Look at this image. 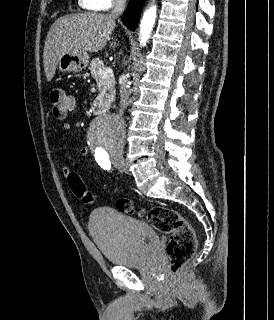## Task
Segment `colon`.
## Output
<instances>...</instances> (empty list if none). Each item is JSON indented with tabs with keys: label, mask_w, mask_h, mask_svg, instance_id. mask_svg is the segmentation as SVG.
Returning a JSON list of instances; mask_svg holds the SVG:
<instances>
[{
	"label": "colon",
	"mask_w": 274,
	"mask_h": 320,
	"mask_svg": "<svg viewBox=\"0 0 274 320\" xmlns=\"http://www.w3.org/2000/svg\"><path fill=\"white\" fill-rule=\"evenodd\" d=\"M49 102L52 106L53 116L57 119H64L75 104L74 99L66 94L61 87H54L49 90ZM68 183L75 196L86 203L92 201V195L87 191L84 182L75 172L68 174ZM116 207L125 214L135 213L133 203L129 199H118ZM144 214L158 232L170 235L168 245L169 268L173 273L181 271L194 255L197 247L193 227L176 210L163 204L153 206Z\"/></svg>",
	"instance_id": "colon-1"
}]
</instances>
